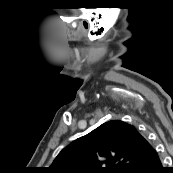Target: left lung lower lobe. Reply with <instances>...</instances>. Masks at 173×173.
I'll return each instance as SVG.
<instances>
[{
  "label": "left lung lower lobe",
  "instance_id": "obj_1",
  "mask_svg": "<svg viewBox=\"0 0 173 173\" xmlns=\"http://www.w3.org/2000/svg\"><path fill=\"white\" fill-rule=\"evenodd\" d=\"M166 168L162 166L159 155L154 147L141 160L133 173H165Z\"/></svg>",
  "mask_w": 173,
  "mask_h": 173
}]
</instances>
